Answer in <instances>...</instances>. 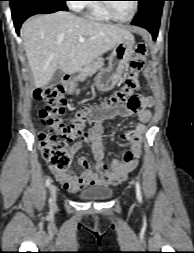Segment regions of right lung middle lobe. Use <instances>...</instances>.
<instances>
[{"label": "right lung middle lobe", "instance_id": "1", "mask_svg": "<svg viewBox=\"0 0 194 253\" xmlns=\"http://www.w3.org/2000/svg\"><path fill=\"white\" fill-rule=\"evenodd\" d=\"M11 3V6H14L16 2L20 1V0H9Z\"/></svg>", "mask_w": 194, "mask_h": 253}]
</instances>
